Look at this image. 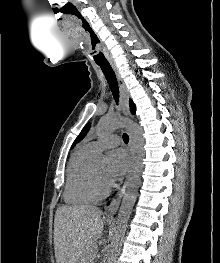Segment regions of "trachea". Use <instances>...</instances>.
<instances>
[{"label": "trachea", "mask_w": 220, "mask_h": 263, "mask_svg": "<svg viewBox=\"0 0 220 263\" xmlns=\"http://www.w3.org/2000/svg\"><path fill=\"white\" fill-rule=\"evenodd\" d=\"M101 70L103 71L105 78L107 79V82L109 84V87L111 89L112 95L116 101V103H118L119 101V87H118V82L116 79V75L111 67V65H99ZM123 141L124 143H128L129 142V136L124 133L123 134Z\"/></svg>", "instance_id": "3493384b"}]
</instances>
